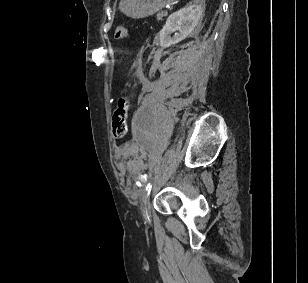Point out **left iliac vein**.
<instances>
[{
    "instance_id": "left-iliac-vein-1",
    "label": "left iliac vein",
    "mask_w": 308,
    "mask_h": 283,
    "mask_svg": "<svg viewBox=\"0 0 308 283\" xmlns=\"http://www.w3.org/2000/svg\"><path fill=\"white\" fill-rule=\"evenodd\" d=\"M149 208H150V202H149V198H147L142 205V213H143L145 218L150 217V209Z\"/></svg>"
}]
</instances>
